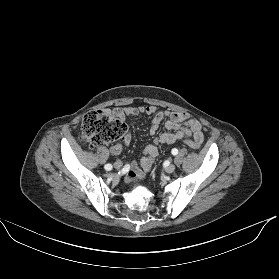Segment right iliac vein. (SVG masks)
Wrapping results in <instances>:
<instances>
[{"instance_id":"obj_1","label":"right iliac vein","mask_w":279,"mask_h":279,"mask_svg":"<svg viewBox=\"0 0 279 279\" xmlns=\"http://www.w3.org/2000/svg\"><path fill=\"white\" fill-rule=\"evenodd\" d=\"M115 169H120L122 167V163L121 162H116L114 164Z\"/></svg>"}]
</instances>
